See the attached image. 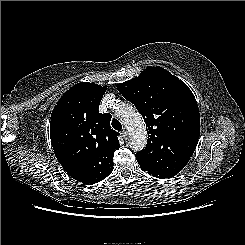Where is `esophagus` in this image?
Returning <instances> with one entry per match:
<instances>
[{
  "instance_id": "esophagus-1",
  "label": "esophagus",
  "mask_w": 245,
  "mask_h": 245,
  "mask_svg": "<svg viewBox=\"0 0 245 245\" xmlns=\"http://www.w3.org/2000/svg\"><path fill=\"white\" fill-rule=\"evenodd\" d=\"M121 134L123 135L124 138H127L128 136V131L124 128L121 132Z\"/></svg>"
}]
</instances>
